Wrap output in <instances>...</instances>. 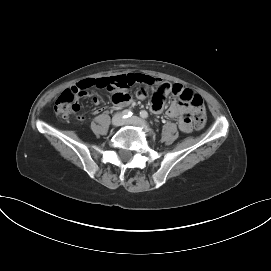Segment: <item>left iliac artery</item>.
Returning <instances> with one entry per match:
<instances>
[{"label": "left iliac artery", "mask_w": 271, "mask_h": 271, "mask_svg": "<svg viewBox=\"0 0 271 271\" xmlns=\"http://www.w3.org/2000/svg\"><path fill=\"white\" fill-rule=\"evenodd\" d=\"M140 116H141L142 118L146 119V118H148V112L145 111V110H142V111L140 112Z\"/></svg>", "instance_id": "1"}]
</instances>
